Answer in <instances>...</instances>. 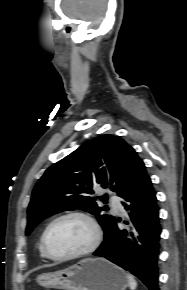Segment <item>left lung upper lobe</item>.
<instances>
[{
  "label": "left lung upper lobe",
  "instance_id": "5c2ea615",
  "mask_svg": "<svg viewBox=\"0 0 187 290\" xmlns=\"http://www.w3.org/2000/svg\"><path fill=\"white\" fill-rule=\"evenodd\" d=\"M147 174L143 161L123 139L100 135L48 168L36 184L28 207L26 235L45 218L81 209L97 217L105 231L115 219L101 214L92 197L95 184L110 188L122 197ZM101 200L106 199L100 197Z\"/></svg>",
  "mask_w": 187,
  "mask_h": 290
}]
</instances>
